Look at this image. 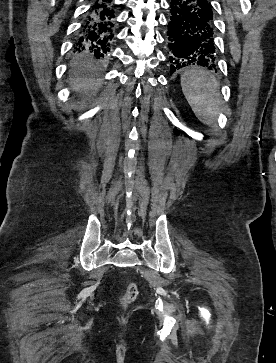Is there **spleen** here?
I'll list each match as a JSON object with an SVG mask.
<instances>
[{
	"instance_id": "spleen-1",
	"label": "spleen",
	"mask_w": 276,
	"mask_h": 363,
	"mask_svg": "<svg viewBox=\"0 0 276 363\" xmlns=\"http://www.w3.org/2000/svg\"><path fill=\"white\" fill-rule=\"evenodd\" d=\"M181 87L196 117L206 125L213 124L222 104L219 83L214 75L193 67L181 75Z\"/></svg>"
}]
</instances>
